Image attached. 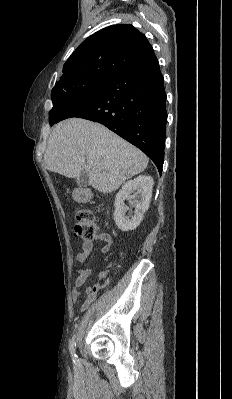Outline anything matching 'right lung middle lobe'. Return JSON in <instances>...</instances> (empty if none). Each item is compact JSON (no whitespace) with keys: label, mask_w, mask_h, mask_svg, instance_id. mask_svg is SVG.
Returning a JSON list of instances; mask_svg holds the SVG:
<instances>
[{"label":"right lung middle lobe","mask_w":232,"mask_h":399,"mask_svg":"<svg viewBox=\"0 0 232 399\" xmlns=\"http://www.w3.org/2000/svg\"><path fill=\"white\" fill-rule=\"evenodd\" d=\"M107 81L108 78H82L67 86L63 92L51 95L53 108L49 112L50 125L55 124L56 118L68 104L89 97L104 86Z\"/></svg>","instance_id":"obj_1"}]
</instances>
